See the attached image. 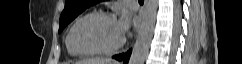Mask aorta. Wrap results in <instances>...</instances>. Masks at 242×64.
I'll list each match as a JSON object with an SVG mask.
<instances>
[{"instance_id":"1","label":"aorta","mask_w":242,"mask_h":64,"mask_svg":"<svg viewBox=\"0 0 242 64\" xmlns=\"http://www.w3.org/2000/svg\"><path fill=\"white\" fill-rule=\"evenodd\" d=\"M157 8V0H146L142 22L129 59V64H144L154 34Z\"/></svg>"}]
</instances>
